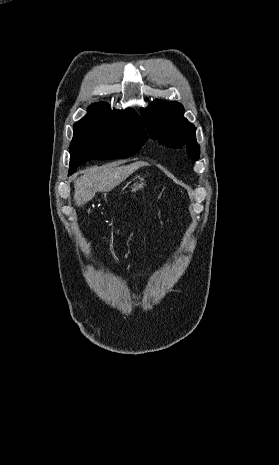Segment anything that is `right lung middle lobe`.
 <instances>
[{"mask_svg": "<svg viewBox=\"0 0 279 465\" xmlns=\"http://www.w3.org/2000/svg\"><path fill=\"white\" fill-rule=\"evenodd\" d=\"M147 139L140 128L132 125H97L74 130L69 173H74L87 160L129 157L139 151Z\"/></svg>", "mask_w": 279, "mask_h": 465, "instance_id": "dd1d6c3e", "label": "right lung middle lobe"}]
</instances>
